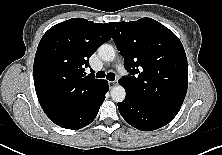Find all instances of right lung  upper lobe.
Instances as JSON below:
<instances>
[{"instance_id":"cb5924a9","label":"right lung upper lobe","mask_w":222,"mask_h":155,"mask_svg":"<svg viewBox=\"0 0 222 155\" xmlns=\"http://www.w3.org/2000/svg\"><path fill=\"white\" fill-rule=\"evenodd\" d=\"M111 39L108 24L72 18L51 27L42 37L34 59L38 100L64 104L95 89L103 80L86 75L89 57Z\"/></svg>"}]
</instances>
